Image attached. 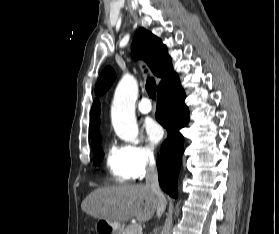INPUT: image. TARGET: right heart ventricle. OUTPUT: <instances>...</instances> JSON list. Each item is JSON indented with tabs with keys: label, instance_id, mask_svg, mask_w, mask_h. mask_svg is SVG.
<instances>
[{
	"label": "right heart ventricle",
	"instance_id": "e07e8e85",
	"mask_svg": "<svg viewBox=\"0 0 279 234\" xmlns=\"http://www.w3.org/2000/svg\"><path fill=\"white\" fill-rule=\"evenodd\" d=\"M106 166L109 173L118 182H127L135 179L126 147L111 145L106 154Z\"/></svg>",
	"mask_w": 279,
	"mask_h": 234
}]
</instances>
